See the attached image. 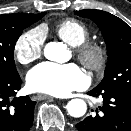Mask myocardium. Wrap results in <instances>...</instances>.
I'll return each instance as SVG.
<instances>
[{
    "mask_svg": "<svg viewBox=\"0 0 131 131\" xmlns=\"http://www.w3.org/2000/svg\"><path fill=\"white\" fill-rule=\"evenodd\" d=\"M77 59L90 71H102L108 62V50L99 42H84L75 47Z\"/></svg>",
    "mask_w": 131,
    "mask_h": 131,
    "instance_id": "myocardium-1",
    "label": "myocardium"
}]
</instances>
